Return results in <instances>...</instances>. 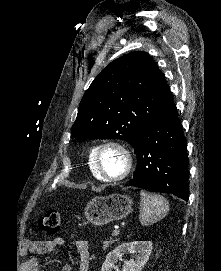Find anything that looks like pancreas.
Wrapping results in <instances>:
<instances>
[{
  "instance_id": "obj_1",
  "label": "pancreas",
  "mask_w": 221,
  "mask_h": 271,
  "mask_svg": "<svg viewBox=\"0 0 221 271\" xmlns=\"http://www.w3.org/2000/svg\"><path fill=\"white\" fill-rule=\"evenodd\" d=\"M116 244V239H105V242H100V247H113Z\"/></svg>"
}]
</instances>
